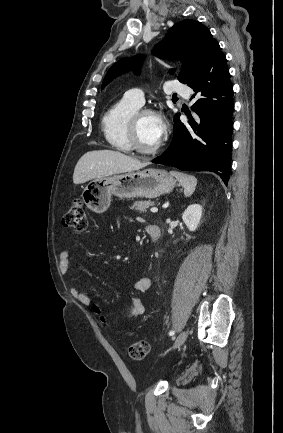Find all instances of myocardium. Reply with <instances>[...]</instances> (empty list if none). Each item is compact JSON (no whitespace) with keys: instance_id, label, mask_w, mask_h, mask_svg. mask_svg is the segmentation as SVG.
Wrapping results in <instances>:
<instances>
[{"instance_id":"obj_1","label":"myocardium","mask_w":283,"mask_h":433,"mask_svg":"<svg viewBox=\"0 0 283 433\" xmlns=\"http://www.w3.org/2000/svg\"><path fill=\"white\" fill-rule=\"evenodd\" d=\"M146 114L156 115L157 117H159L162 120L161 115L152 108L138 109L132 115L130 122H129L128 136H129L130 147H131V150L135 151L137 154H139L141 156L155 157V156L161 154L165 149L162 141H160L158 143L159 147L155 151L145 150L139 141V136H138L139 123H140L142 117Z\"/></svg>"}]
</instances>
